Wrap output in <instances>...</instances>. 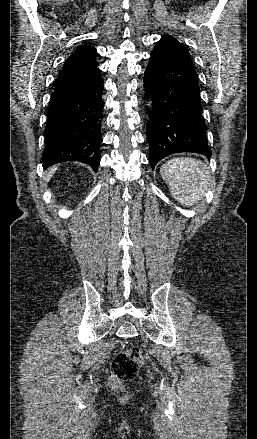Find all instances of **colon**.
I'll return each instance as SVG.
<instances>
[{"label":"colon","instance_id":"colon-1","mask_svg":"<svg viewBox=\"0 0 257 439\" xmlns=\"http://www.w3.org/2000/svg\"><path fill=\"white\" fill-rule=\"evenodd\" d=\"M143 361V355L136 347L117 353L111 364L114 385L132 380L137 375Z\"/></svg>","mask_w":257,"mask_h":439}]
</instances>
